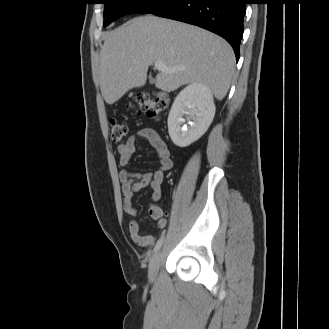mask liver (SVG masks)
Segmentation results:
<instances>
[{
  "instance_id": "liver-1",
  "label": "liver",
  "mask_w": 329,
  "mask_h": 329,
  "mask_svg": "<svg viewBox=\"0 0 329 329\" xmlns=\"http://www.w3.org/2000/svg\"><path fill=\"white\" fill-rule=\"evenodd\" d=\"M162 61L175 72L160 71L155 84L171 92L200 83L222 100L234 74L235 55L221 37L186 23L145 15L105 36L100 53V88L107 104L145 85L150 65Z\"/></svg>"
}]
</instances>
